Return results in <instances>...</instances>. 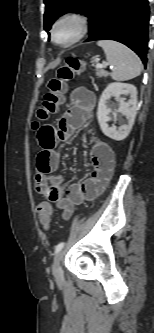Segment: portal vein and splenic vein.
I'll use <instances>...</instances> for the list:
<instances>
[{
	"instance_id": "18ae733b",
	"label": "portal vein and splenic vein",
	"mask_w": 154,
	"mask_h": 333,
	"mask_svg": "<svg viewBox=\"0 0 154 333\" xmlns=\"http://www.w3.org/2000/svg\"><path fill=\"white\" fill-rule=\"evenodd\" d=\"M96 67H97V68H102V67L106 68V67H107V64L102 65V64L98 63V64L96 65ZM110 69H113V67L110 66Z\"/></svg>"
}]
</instances>
